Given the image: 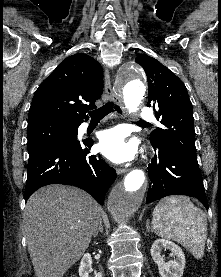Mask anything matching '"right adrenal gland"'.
<instances>
[{
  "instance_id": "obj_1",
  "label": "right adrenal gland",
  "mask_w": 221,
  "mask_h": 277,
  "mask_svg": "<svg viewBox=\"0 0 221 277\" xmlns=\"http://www.w3.org/2000/svg\"><path fill=\"white\" fill-rule=\"evenodd\" d=\"M99 232H100V233H103L102 221L100 222L99 227H98V230L95 232V234L93 235V237L95 238V237L98 235Z\"/></svg>"
}]
</instances>
